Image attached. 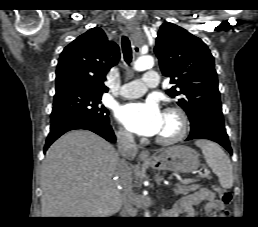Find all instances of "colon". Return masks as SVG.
<instances>
[{"mask_svg": "<svg viewBox=\"0 0 258 227\" xmlns=\"http://www.w3.org/2000/svg\"><path fill=\"white\" fill-rule=\"evenodd\" d=\"M215 190L219 194L223 205L228 206L231 204L233 197H232V194L228 190L223 189V188H218V187L215 188ZM225 215L228 216L229 212L226 211Z\"/></svg>", "mask_w": 258, "mask_h": 227, "instance_id": "obj_1", "label": "colon"}]
</instances>
